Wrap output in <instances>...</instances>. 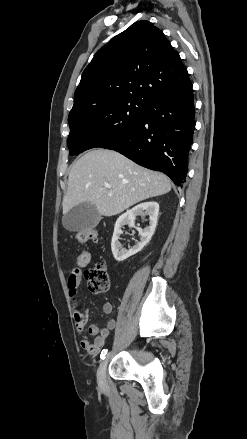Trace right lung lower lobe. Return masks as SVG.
<instances>
[{
    "mask_svg": "<svg viewBox=\"0 0 247 439\" xmlns=\"http://www.w3.org/2000/svg\"><path fill=\"white\" fill-rule=\"evenodd\" d=\"M193 89L163 95L147 105L143 118L107 149L135 163L161 171L182 186L195 128Z\"/></svg>",
    "mask_w": 247,
    "mask_h": 439,
    "instance_id": "1",
    "label": "right lung lower lobe"
}]
</instances>
